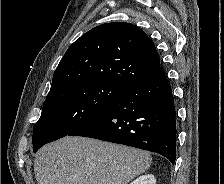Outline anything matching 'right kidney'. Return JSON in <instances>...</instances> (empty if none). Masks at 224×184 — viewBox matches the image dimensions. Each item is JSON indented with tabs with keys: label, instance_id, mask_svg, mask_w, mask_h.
I'll return each mask as SVG.
<instances>
[{
	"label": "right kidney",
	"instance_id": "right-kidney-1",
	"mask_svg": "<svg viewBox=\"0 0 224 184\" xmlns=\"http://www.w3.org/2000/svg\"><path fill=\"white\" fill-rule=\"evenodd\" d=\"M130 184H156V179L152 174H146L138 177Z\"/></svg>",
	"mask_w": 224,
	"mask_h": 184
}]
</instances>
